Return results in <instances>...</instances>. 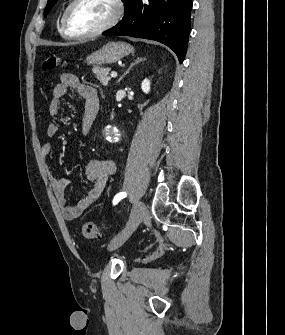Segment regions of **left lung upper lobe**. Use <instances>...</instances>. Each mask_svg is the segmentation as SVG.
<instances>
[{"label":"left lung upper lobe","instance_id":"obj_1","mask_svg":"<svg viewBox=\"0 0 285 335\" xmlns=\"http://www.w3.org/2000/svg\"><path fill=\"white\" fill-rule=\"evenodd\" d=\"M124 1V0H123ZM57 2V0H48L45 12H44V16L47 15V13L50 11V9L54 6V4Z\"/></svg>","mask_w":285,"mask_h":335}]
</instances>
